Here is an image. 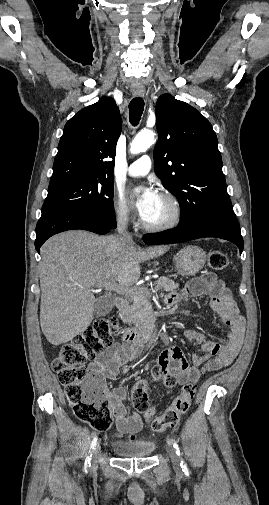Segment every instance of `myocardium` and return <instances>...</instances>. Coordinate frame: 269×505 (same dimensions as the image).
<instances>
[{
  "instance_id": "1",
  "label": "myocardium",
  "mask_w": 269,
  "mask_h": 505,
  "mask_svg": "<svg viewBox=\"0 0 269 505\" xmlns=\"http://www.w3.org/2000/svg\"><path fill=\"white\" fill-rule=\"evenodd\" d=\"M160 196H162L171 203L173 207V216L170 220L160 224H150L147 223L145 220H142V226L147 231L151 232L167 231L177 227L182 220L183 208L178 198L168 191H161Z\"/></svg>"
}]
</instances>
